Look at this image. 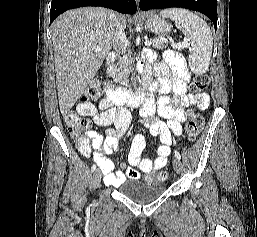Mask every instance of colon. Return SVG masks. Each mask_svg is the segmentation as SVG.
Here are the masks:
<instances>
[{
    "label": "colon",
    "mask_w": 257,
    "mask_h": 237,
    "mask_svg": "<svg viewBox=\"0 0 257 237\" xmlns=\"http://www.w3.org/2000/svg\"><path fill=\"white\" fill-rule=\"evenodd\" d=\"M209 87V78L206 75L195 76L192 89L197 92H204ZM101 96V86L98 81H93L87 87L84 98L85 100H97ZM65 123L70 135L74 138L81 139L83 132L91 128V122L88 119L81 118L75 112L65 114ZM204 120L199 114H192L186 122L185 130L189 141H194L201 132ZM167 178L165 172H152L145 178V182L150 184H160Z\"/></svg>",
    "instance_id": "colon-1"
}]
</instances>
